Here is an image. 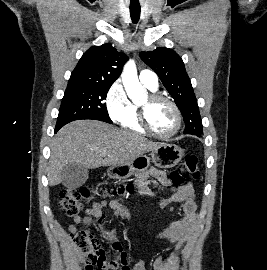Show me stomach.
Segmentation results:
<instances>
[{"instance_id":"0dacf381","label":"stomach","mask_w":267,"mask_h":270,"mask_svg":"<svg viewBox=\"0 0 267 270\" xmlns=\"http://www.w3.org/2000/svg\"><path fill=\"white\" fill-rule=\"evenodd\" d=\"M182 156L183 152L177 145L163 143L152 150L150 156L142 154L131 162L111 166L108 169V176L112 179H127L146 170L151 162L159 168H172L179 163Z\"/></svg>"}]
</instances>
